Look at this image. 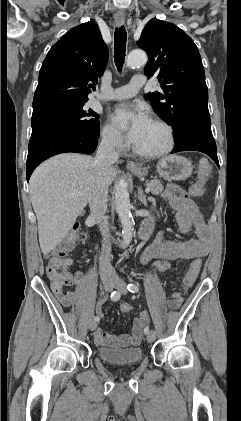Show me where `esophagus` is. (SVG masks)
<instances>
[{
  "mask_svg": "<svg viewBox=\"0 0 241 421\" xmlns=\"http://www.w3.org/2000/svg\"><path fill=\"white\" fill-rule=\"evenodd\" d=\"M115 23H116L117 26H122L125 23V18L122 17V16L115 17ZM126 165L130 169L138 168V165L131 160H128Z\"/></svg>",
  "mask_w": 241,
  "mask_h": 421,
  "instance_id": "esophagus-1",
  "label": "esophagus"
}]
</instances>
